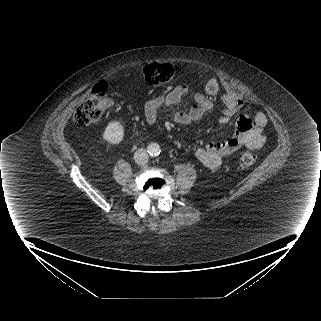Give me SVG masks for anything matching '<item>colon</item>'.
<instances>
[{
  "mask_svg": "<svg viewBox=\"0 0 321 321\" xmlns=\"http://www.w3.org/2000/svg\"><path fill=\"white\" fill-rule=\"evenodd\" d=\"M175 70L170 63H152L144 67L145 81L151 86L169 82L174 76ZM108 87L104 82H98L87 98L77 107L73 120L79 127H85L96 122L103 113ZM204 90L208 95H217L220 91L219 80L216 76L207 79ZM257 157L251 152L240 154L238 163L242 168H249L256 163Z\"/></svg>",
  "mask_w": 321,
  "mask_h": 321,
  "instance_id": "1",
  "label": "colon"
}]
</instances>
